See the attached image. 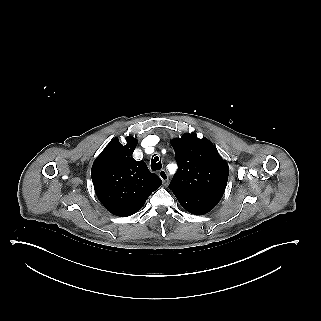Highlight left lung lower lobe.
<instances>
[{"label":"left lung lower lobe","instance_id":"obj_1","mask_svg":"<svg viewBox=\"0 0 321 321\" xmlns=\"http://www.w3.org/2000/svg\"><path fill=\"white\" fill-rule=\"evenodd\" d=\"M223 194L224 192L214 191L199 194L179 193L175 194V196L188 212L195 215H203L211 211L219 203Z\"/></svg>","mask_w":321,"mask_h":321}]
</instances>
